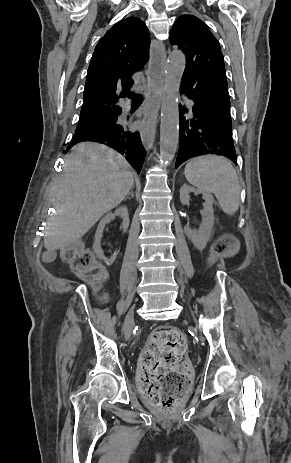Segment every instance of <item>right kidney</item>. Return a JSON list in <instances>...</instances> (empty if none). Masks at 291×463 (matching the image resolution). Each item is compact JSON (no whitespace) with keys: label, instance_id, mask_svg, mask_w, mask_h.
I'll list each match as a JSON object with an SVG mask.
<instances>
[{"label":"right kidney","instance_id":"obj_1","mask_svg":"<svg viewBox=\"0 0 291 463\" xmlns=\"http://www.w3.org/2000/svg\"><path fill=\"white\" fill-rule=\"evenodd\" d=\"M113 215L120 216L123 219V223H122L123 232H126L129 227V214H128V209L126 206L117 208L114 214L108 213L101 219V221L98 224L96 233H95L93 249H94V252L97 254L98 258L103 259V260L105 259V256L101 248V238L103 236V230L105 226L108 223H110V221L113 218Z\"/></svg>","mask_w":291,"mask_h":463}]
</instances>
